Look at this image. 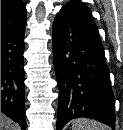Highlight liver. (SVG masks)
<instances>
[{"instance_id": "obj_1", "label": "liver", "mask_w": 123, "mask_h": 130, "mask_svg": "<svg viewBox=\"0 0 123 130\" xmlns=\"http://www.w3.org/2000/svg\"><path fill=\"white\" fill-rule=\"evenodd\" d=\"M18 126L7 116L1 113V130H17Z\"/></svg>"}]
</instances>
